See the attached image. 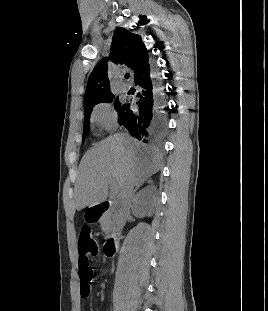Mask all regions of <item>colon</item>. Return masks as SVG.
<instances>
[{
	"label": "colon",
	"instance_id": "obj_1",
	"mask_svg": "<svg viewBox=\"0 0 268 311\" xmlns=\"http://www.w3.org/2000/svg\"><path fill=\"white\" fill-rule=\"evenodd\" d=\"M78 254L81 294L86 297L90 292L91 284L95 278L94 270L90 267V262L97 254V244L92 238V231L89 226H83L81 228L78 239Z\"/></svg>",
	"mask_w": 268,
	"mask_h": 311
}]
</instances>
